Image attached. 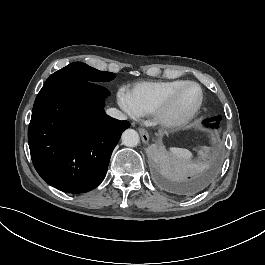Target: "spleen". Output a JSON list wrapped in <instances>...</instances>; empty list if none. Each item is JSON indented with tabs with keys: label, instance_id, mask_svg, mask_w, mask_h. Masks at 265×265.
Returning <instances> with one entry per match:
<instances>
[{
	"label": "spleen",
	"instance_id": "obj_1",
	"mask_svg": "<svg viewBox=\"0 0 265 265\" xmlns=\"http://www.w3.org/2000/svg\"><path fill=\"white\" fill-rule=\"evenodd\" d=\"M207 149H208V147L204 146V150H207ZM170 152L173 155V157H175L177 159H181L184 162H191L192 161V153L187 149L172 147V148H170ZM198 155H199V157L203 156L204 151L199 150Z\"/></svg>",
	"mask_w": 265,
	"mask_h": 265
}]
</instances>
